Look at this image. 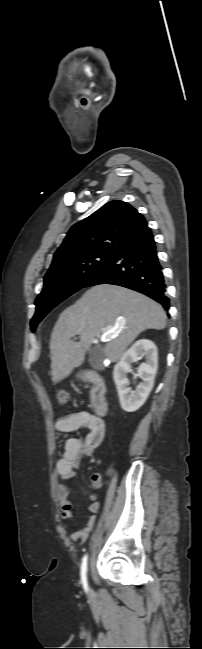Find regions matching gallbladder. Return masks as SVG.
Masks as SVG:
<instances>
[{
    "label": "gallbladder",
    "instance_id": "gallbladder-1",
    "mask_svg": "<svg viewBox=\"0 0 202 649\" xmlns=\"http://www.w3.org/2000/svg\"><path fill=\"white\" fill-rule=\"evenodd\" d=\"M103 356L101 353L95 350H91L89 353V362L95 368L98 369L101 366Z\"/></svg>",
    "mask_w": 202,
    "mask_h": 649
}]
</instances>
